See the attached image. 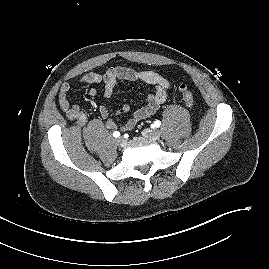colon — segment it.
<instances>
[{
  "instance_id": "5ec220e1",
  "label": "colon",
  "mask_w": 269,
  "mask_h": 269,
  "mask_svg": "<svg viewBox=\"0 0 269 269\" xmlns=\"http://www.w3.org/2000/svg\"><path fill=\"white\" fill-rule=\"evenodd\" d=\"M179 91L181 94V97L183 99V102L185 105L189 108L194 106V97L190 89L185 84H181L179 86Z\"/></svg>"
}]
</instances>
